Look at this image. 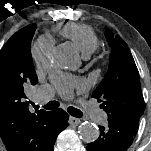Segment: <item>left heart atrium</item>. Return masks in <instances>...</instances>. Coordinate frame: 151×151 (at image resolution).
<instances>
[{
	"label": "left heart atrium",
	"mask_w": 151,
	"mask_h": 151,
	"mask_svg": "<svg viewBox=\"0 0 151 151\" xmlns=\"http://www.w3.org/2000/svg\"><path fill=\"white\" fill-rule=\"evenodd\" d=\"M62 89H63L64 92H67V91H68V87H67L66 85H64V86L62 87Z\"/></svg>",
	"instance_id": "left-heart-atrium-1"
}]
</instances>
